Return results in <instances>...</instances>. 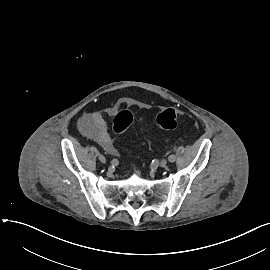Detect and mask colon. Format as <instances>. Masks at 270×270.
<instances>
[{
    "instance_id": "5ec220e1",
    "label": "colon",
    "mask_w": 270,
    "mask_h": 270,
    "mask_svg": "<svg viewBox=\"0 0 270 270\" xmlns=\"http://www.w3.org/2000/svg\"><path fill=\"white\" fill-rule=\"evenodd\" d=\"M132 122V113L128 110H122L117 113L113 120V131L117 135H123L132 124ZM156 123L158 127L163 130H174L179 126L178 112L172 107L164 108L157 115Z\"/></svg>"
}]
</instances>
